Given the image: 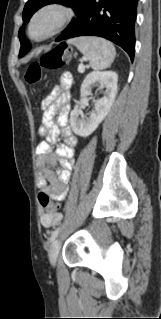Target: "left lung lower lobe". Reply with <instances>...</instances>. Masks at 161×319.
Returning a JSON list of instances; mask_svg holds the SVG:
<instances>
[{"instance_id":"left-lung-lower-lobe-1","label":"left lung lower lobe","mask_w":161,"mask_h":319,"mask_svg":"<svg viewBox=\"0 0 161 319\" xmlns=\"http://www.w3.org/2000/svg\"><path fill=\"white\" fill-rule=\"evenodd\" d=\"M137 4L138 0H90L84 15L63 39L103 37L122 47L133 61ZM26 53L19 54V57Z\"/></svg>"}]
</instances>
